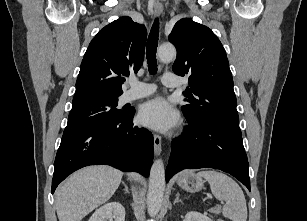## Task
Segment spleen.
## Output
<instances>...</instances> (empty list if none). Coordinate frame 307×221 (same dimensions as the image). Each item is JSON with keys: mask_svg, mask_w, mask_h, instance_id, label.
I'll use <instances>...</instances> for the list:
<instances>
[{"mask_svg": "<svg viewBox=\"0 0 307 221\" xmlns=\"http://www.w3.org/2000/svg\"><path fill=\"white\" fill-rule=\"evenodd\" d=\"M210 184L211 192L221 201H225L222 213L232 221L247 220L246 199L240 186L229 176L215 170H203L198 173Z\"/></svg>", "mask_w": 307, "mask_h": 221, "instance_id": "1", "label": "spleen"}]
</instances>
